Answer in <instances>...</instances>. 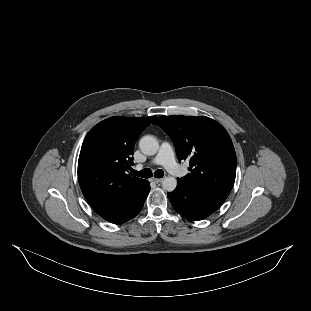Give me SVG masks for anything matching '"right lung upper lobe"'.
Here are the masks:
<instances>
[{
    "instance_id": "obj_1",
    "label": "right lung upper lobe",
    "mask_w": 311,
    "mask_h": 311,
    "mask_svg": "<svg viewBox=\"0 0 311 311\" xmlns=\"http://www.w3.org/2000/svg\"><path fill=\"white\" fill-rule=\"evenodd\" d=\"M155 117H110L85 137L78 160V181L86 200L107 221L122 214L147 183L126 172L134 164L138 136Z\"/></svg>"
}]
</instances>
